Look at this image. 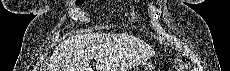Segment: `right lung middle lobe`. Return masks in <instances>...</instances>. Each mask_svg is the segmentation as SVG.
I'll use <instances>...</instances> for the list:
<instances>
[{"label":"right lung middle lobe","mask_w":230,"mask_h":71,"mask_svg":"<svg viewBox=\"0 0 230 71\" xmlns=\"http://www.w3.org/2000/svg\"><path fill=\"white\" fill-rule=\"evenodd\" d=\"M84 1H76V4L79 5V4H82Z\"/></svg>","instance_id":"dd1d6c3e"}]
</instances>
